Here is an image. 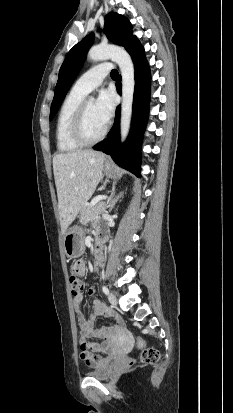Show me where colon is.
<instances>
[{
	"label": "colon",
	"instance_id": "1",
	"mask_svg": "<svg viewBox=\"0 0 233 413\" xmlns=\"http://www.w3.org/2000/svg\"><path fill=\"white\" fill-rule=\"evenodd\" d=\"M70 286L73 294L79 293L83 287L84 282L78 276L70 277ZM138 347L141 350V359L145 363H155L159 360L160 354L155 348H147L143 340L138 341Z\"/></svg>",
	"mask_w": 233,
	"mask_h": 413
}]
</instances>
